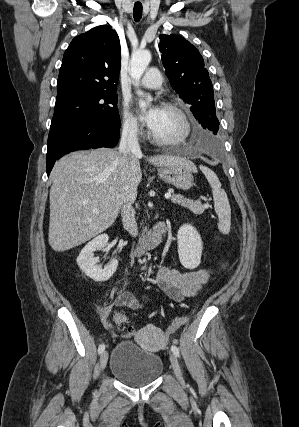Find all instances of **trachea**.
Segmentation results:
<instances>
[{"instance_id":"1","label":"trachea","mask_w":299,"mask_h":427,"mask_svg":"<svg viewBox=\"0 0 299 427\" xmlns=\"http://www.w3.org/2000/svg\"><path fill=\"white\" fill-rule=\"evenodd\" d=\"M133 17L136 22L142 18V4H135L133 9Z\"/></svg>"}]
</instances>
